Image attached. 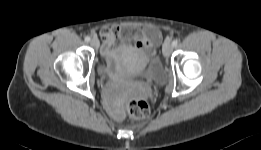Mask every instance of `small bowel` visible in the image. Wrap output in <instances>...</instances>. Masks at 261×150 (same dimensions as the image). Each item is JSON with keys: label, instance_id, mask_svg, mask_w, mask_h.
I'll return each mask as SVG.
<instances>
[{"label": "small bowel", "instance_id": "small-bowel-1", "mask_svg": "<svg viewBox=\"0 0 261 150\" xmlns=\"http://www.w3.org/2000/svg\"><path fill=\"white\" fill-rule=\"evenodd\" d=\"M100 34L104 42L103 49L112 47L115 38L124 37L136 41L134 48L142 56L153 55L162 39L160 31L151 26L143 28L139 33H134L130 29L113 27L103 29Z\"/></svg>", "mask_w": 261, "mask_h": 150}]
</instances>
